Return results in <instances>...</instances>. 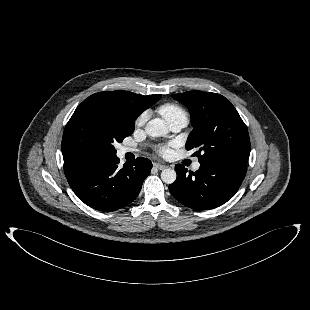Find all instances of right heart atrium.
Instances as JSON below:
<instances>
[{
  "mask_svg": "<svg viewBox=\"0 0 310 310\" xmlns=\"http://www.w3.org/2000/svg\"><path fill=\"white\" fill-rule=\"evenodd\" d=\"M145 121H146V114H141L135 122L136 127H141L145 123Z\"/></svg>",
  "mask_w": 310,
  "mask_h": 310,
  "instance_id": "right-heart-atrium-1",
  "label": "right heart atrium"
}]
</instances>
